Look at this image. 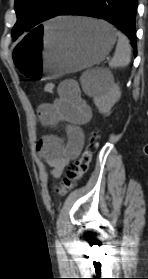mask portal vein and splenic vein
Listing matches in <instances>:
<instances>
[{
    "label": "portal vein and splenic vein",
    "mask_w": 148,
    "mask_h": 279,
    "mask_svg": "<svg viewBox=\"0 0 148 279\" xmlns=\"http://www.w3.org/2000/svg\"><path fill=\"white\" fill-rule=\"evenodd\" d=\"M111 59V55H109L108 57H107V61H109Z\"/></svg>",
    "instance_id": "18ae733b"
}]
</instances>
